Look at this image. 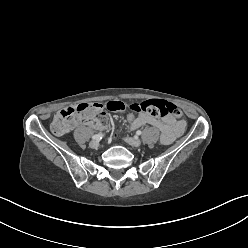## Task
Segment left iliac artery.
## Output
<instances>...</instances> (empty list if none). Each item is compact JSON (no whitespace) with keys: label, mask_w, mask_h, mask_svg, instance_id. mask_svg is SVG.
<instances>
[{"label":"left iliac artery","mask_w":248,"mask_h":248,"mask_svg":"<svg viewBox=\"0 0 248 248\" xmlns=\"http://www.w3.org/2000/svg\"><path fill=\"white\" fill-rule=\"evenodd\" d=\"M142 134V132L140 131V130H138L137 132H136V135H141Z\"/></svg>","instance_id":"1"}]
</instances>
